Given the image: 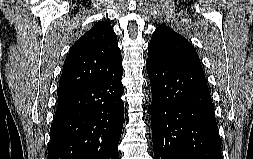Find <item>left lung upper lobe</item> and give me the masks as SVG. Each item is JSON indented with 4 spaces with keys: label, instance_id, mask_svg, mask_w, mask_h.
<instances>
[{
    "label": "left lung upper lobe",
    "instance_id": "left-lung-upper-lobe-1",
    "mask_svg": "<svg viewBox=\"0 0 253 159\" xmlns=\"http://www.w3.org/2000/svg\"><path fill=\"white\" fill-rule=\"evenodd\" d=\"M147 60L166 65L202 68L193 46L183 36L163 24L158 26L152 35Z\"/></svg>",
    "mask_w": 253,
    "mask_h": 159
}]
</instances>
